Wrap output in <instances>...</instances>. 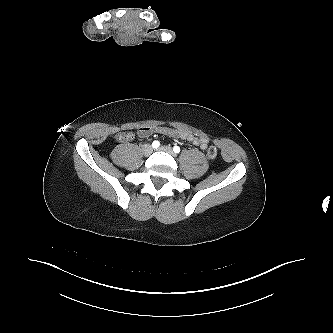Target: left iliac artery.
<instances>
[{
    "label": "left iliac artery",
    "instance_id": "obj_1",
    "mask_svg": "<svg viewBox=\"0 0 333 333\" xmlns=\"http://www.w3.org/2000/svg\"><path fill=\"white\" fill-rule=\"evenodd\" d=\"M173 151H174L175 153H179V152H180V147H179V146H174V147H173Z\"/></svg>",
    "mask_w": 333,
    "mask_h": 333
}]
</instances>
